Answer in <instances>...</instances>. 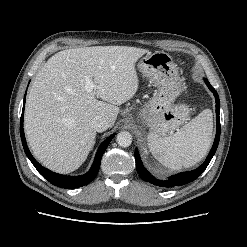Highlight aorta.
Returning <instances> with one entry per match:
<instances>
[{
    "label": "aorta",
    "instance_id": "1",
    "mask_svg": "<svg viewBox=\"0 0 247 247\" xmlns=\"http://www.w3.org/2000/svg\"><path fill=\"white\" fill-rule=\"evenodd\" d=\"M116 142L121 147H128L132 143V135L128 131H121L117 134Z\"/></svg>",
    "mask_w": 247,
    "mask_h": 247
}]
</instances>
